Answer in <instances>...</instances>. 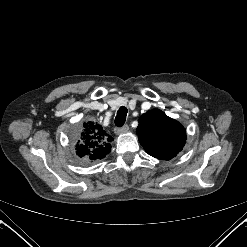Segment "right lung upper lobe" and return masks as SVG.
<instances>
[{"label":"right lung upper lobe","instance_id":"cb5924a9","mask_svg":"<svg viewBox=\"0 0 247 247\" xmlns=\"http://www.w3.org/2000/svg\"><path fill=\"white\" fill-rule=\"evenodd\" d=\"M112 140L102 125L89 120L83 124L80 138L75 142L76 155L85 162L101 160L110 152Z\"/></svg>","mask_w":247,"mask_h":247}]
</instances>
